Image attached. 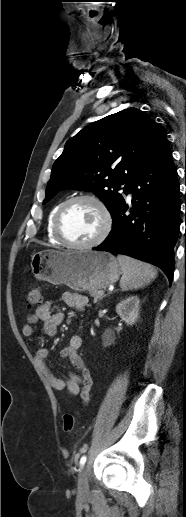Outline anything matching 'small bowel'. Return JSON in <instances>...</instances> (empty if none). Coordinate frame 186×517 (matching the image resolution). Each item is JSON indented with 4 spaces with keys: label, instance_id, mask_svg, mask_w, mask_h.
<instances>
[{
    "label": "small bowel",
    "instance_id": "obj_1",
    "mask_svg": "<svg viewBox=\"0 0 186 517\" xmlns=\"http://www.w3.org/2000/svg\"><path fill=\"white\" fill-rule=\"evenodd\" d=\"M61 300L66 305L76 309H83L88 304V299L84 295L71 292L63 293ZM63 320L64 314L62 312L52 311L51 303L47 301L27 316V321L22 327V333L26 337H32L34 335V326L40 323L43 333L46 336L54 337L57 335L58 328ZM82 343L83 339L81 335L74 334L71 336L68 345L59 353L60 357L68 358L73 367L78 371V374L71 373L68 378L55 376L49 369L47 360L50 357V353L46 348H38L34 357L49 385L53 389L65 391L71 396L79 395L82 404L86 405L91 398L92 377L83 358L79 354Z\"/></svg>",
    "mask_w": 186,
    "mask_h": 517
}]
</instances>
